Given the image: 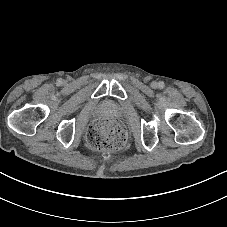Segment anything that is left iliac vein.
Segmentation results:
<instances>
[{"label":"left iliac vein","mask_w":227,"mask_h":227,"mask_svg":"<svg viewBox=\"0 0 227 227\" xmlns=\"http://www.w3.org/2000/svg\"><path fill=\"white\" fill-rule=\"evenodd\" d=\"M151 87H152V88H157V87H158V83H157L156 81H153V82L151 83Z\"/></svg>","instance_id":"4c4485c4"}]
</instances>
